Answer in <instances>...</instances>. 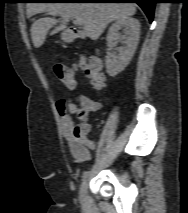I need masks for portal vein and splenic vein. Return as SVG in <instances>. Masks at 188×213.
Wrapping results in <instances>:
<instances>
[{
    "label": "portal vein and splenic vein",
    "mask_w": 188,
    "mask_h": 213,
    "mask_svg": "<svg viewBox=\"0 0 188 213\" xmlns=\"http://www.w3.org/2000/svg\"><path fill=\"white\" fill-rule=\"evenodd\" d=\"M74 23H76L78 25H83L84 21L82 18L77 17V18H75Z\"/></svg>",
    "instance_id": "1"
}]
</instances>
